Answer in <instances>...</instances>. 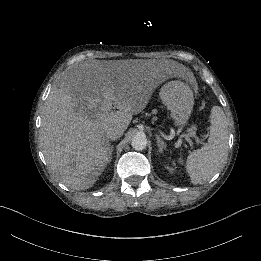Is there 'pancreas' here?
Returning <instances> with one entry per match:
<instances>
[{"label":"pancreas","instance_id":"obj_1","mask_svg":"<svg viewBox=\"0 0 261 261\" xmlns=\"http://www.w3.org/2000/svg\"><path fill=\"white\" fill-rule=\"evenodd\" d=\"M189 134H193V132H190ZM189 134H188V135H189Z\"/></svg>","mask_w":261,"mask_h":261}]
</instances>
